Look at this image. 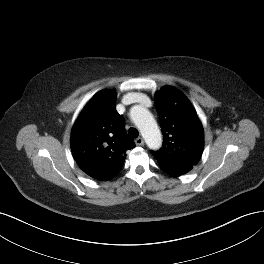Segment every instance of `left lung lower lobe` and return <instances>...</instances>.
Listing matches in <instances>:
<instances>
[{
	"label": "left lung lower lobe",
	"instance_id": "0a47b994",
	"mask_svg": "<svg viewBox=\"0 0 264 264\" xmlns=\"http://www.w3.org/2000/svg\"><path fill=\"white\" fill-rule=\"evenodd\" d=\"M182 175V174H181ZM171 176H180V175H171Z\"/></svg>",
	"mask_w": 264,
	"mask_h": 264
}]
</instances>
